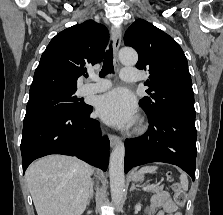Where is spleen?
<instances>
[{"instance_id": "obj_1", "label": "spleen", "mask_w": 223, "mask_h": 215, "mask_svg": "<svg viewBox=\"0 0 223 215\" xmlns=\"http://www.w3.org/2000/svg\"><path fill=\"white\" fill-rule=\"evenodd\" d=\"M156 169H158L157 165H145V167H141L139 171L140 173H155ZM180 181L183 189H188V179L186 173H181Z\"/></svg>"}]
</instances>
